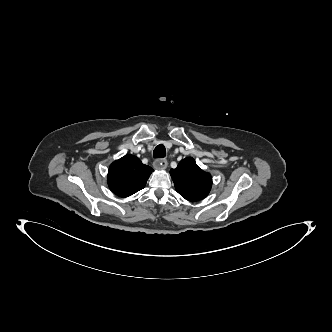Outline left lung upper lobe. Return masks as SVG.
Masks as SVG:
<instances>
[{
  "instance_id": "5c2ea615",
  "label": "left lung upper lobe",
  "mask_w": 332,
  "mask_h": 332,
  "mask_svg": "<svg viewBox=\"0 0 332 332\" xmlns=\"http://www.w3.org/2000/svg\"><path fill=\"white\" fill-rule=\"evenodd\" d=\"M170 175L176 191L188 201L204 199L211 190V175L200 169L191 157L181 160L177 168L170 170Z\"/></svg>"
}]
</instances>
